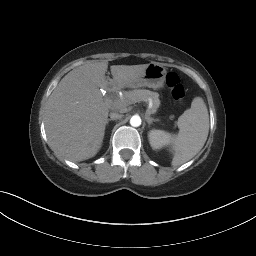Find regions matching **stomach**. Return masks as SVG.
Here are the masks:
<instances>
[{
	"label": "stomach",
	"mask_w": 256,
	"mask_h": 256,
	"mask_svg": "<svg viewBox=\"0 0 256 256\" xmlns=\"http://www.w3.org/2000/svg\"><path fill=\"white\" fill-rule=\"evenodd\" d=\"M165 77L166 68L161 63L151 62L141 76L127 85L132 88L145 86L156 90L163 88Z\"/></svg>",
	"instance_id": "stomach-1"
}]
</instances>
